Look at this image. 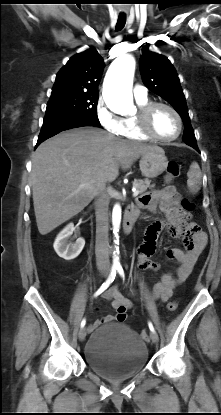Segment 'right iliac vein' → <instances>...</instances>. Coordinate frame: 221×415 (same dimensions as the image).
<instances>
[{
	"mask_svg": "<svg viewBox=\"0 0 221 415\" xmlns=\"http://www.w3.org/2000/svg\"><path fill=\"white\" fill-rule=\"evenodd\" d=\"M87 329L85 327L81 328L78 334L79 340L83 341L86 337Z\"/></svg>",
	"mask_w": 221,
	"mask_h": 415,
	"instance_id": "right-iliac-vein-1",
	"label": "right iliac vein"
}]
</instances>
